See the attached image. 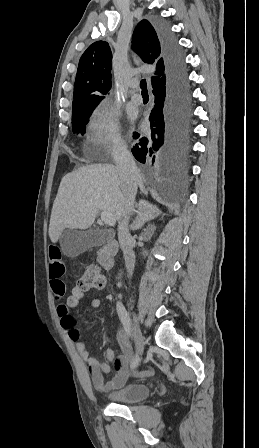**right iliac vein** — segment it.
<instances>
[{"instance_id": "1", "label": "right iliac vein", "mask_w": 259, "mask_h": 448, "mask_svg": "<svg viewBox=\"0 0 259 448\" xmlns=\"http://www.w3.org/2000/svg\"><path fill=\"white\" fill-rule=\"evenodd\" d=\"M133 336L135 341V347L137 350V353L139 355L143 354L144 351V338L141 333L139 324H138V318L135 313H133Z\"/></svg>"}]
</instances>
